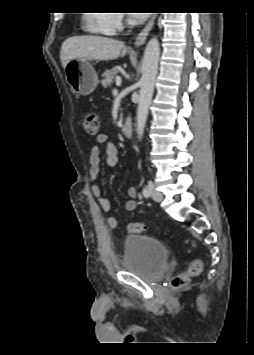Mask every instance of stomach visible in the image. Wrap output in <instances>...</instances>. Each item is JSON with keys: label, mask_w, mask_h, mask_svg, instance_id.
I'll return each instance as SVG.
<instances>
[{"label": "stomach", "mask_w": 254, "mask_h": 355, "mask_svg": "<svg viewBox=\"0 0 254 355\" xmlns=\"http://www.w3.org/2000/svg\"><path fill=\"white\" fill-rule=\"evenodd\" d=\"M66 79L73 92L89 95L98 84L97 73L87 59H73L65 67Z\"/></svg>", "instance_id": "0dacf381"}]
</instances>
